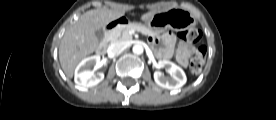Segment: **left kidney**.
Listing matches in <instances>:
<instances>
[{
    "instance_id": "1",
    "label": "left kidney",
    "mask_w": 276,
    "mask_h": 120,
    "mask_svg": "<svg viewBox=\"0 0 276 120\" xmlns=\"http://www.w3.org/2000/svg\"><path fill=\"white\" fill-rule=\"evenodd\" d=\"M159 66L160 68H166L171 75L170 78H167L160 71L154 72V80L160 87L175 91L186 83L187 78L184 71L173 62L169 60H160Z\"/></svg>"
}]
</instances>
